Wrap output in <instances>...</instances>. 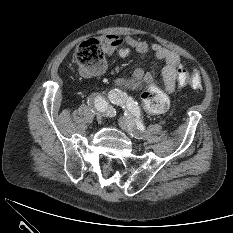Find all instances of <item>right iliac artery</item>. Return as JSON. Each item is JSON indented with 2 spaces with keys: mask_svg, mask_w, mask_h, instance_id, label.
Masks as SVG:
<instances>
[{
  "mask_svg": "<svg viewBox=\"0 0 233 233\" xmlns=\"http://www.w3.org/2000/svg\"><path fill=\"white\" fill-rule=\"evenodd\" d=\"M88 104L90 106L94 107L96 110H98L100 112H104L108 116L109 115L112 116L114 114L112 107L105 100V98L99 94H92L88 98Z\"/></svg>",
  "mask_w": 233,
  "mask_h": 233,
  "instance_id": "right-iliac-artery-1",
  "label": "right iliac artery"
}]
</instances>
